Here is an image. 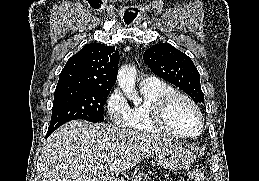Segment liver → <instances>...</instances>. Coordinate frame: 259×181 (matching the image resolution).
<instances>
[{
  "instance_id": "obj_1",
  "label": "liver",
  "mask_w": 259,
  "mask_h": 181,
  "mask_svg": "<svg viewBox=\"0 0 259 181\" xmlns=\"http://www.w3.org/2000/svg\"><path fill=\"white\" fill-rule=\"evenodd\" d=\"M171 143L134 130L71 121L48 138L42 181H108Z\"/></svg>"
}]
</instances>
